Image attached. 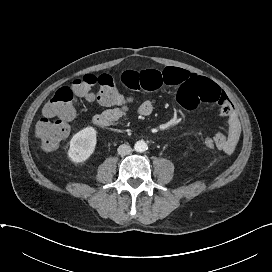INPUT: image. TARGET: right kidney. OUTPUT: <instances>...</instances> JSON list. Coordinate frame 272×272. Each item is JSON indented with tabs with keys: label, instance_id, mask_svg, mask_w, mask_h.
I'll use <instances>...</instances> for the list:
<instances>
[{
	"label": "right kidney",
	"instance_id": "right-kidney-1",
	"mask_svg": "<svg viewBox=\"0 0 272 272\" xmlns=\"http://www.w3.org/2000/svg\"><path fill=\"white\" fill-rule=\"evenodd\" d=\"M97 132L93 127H86L76 133L71 141L68 156L74 163H83L90 158L96 146Z\"/></svg>",
	"mask_w": 272,
	"mask_h": 272
}]
</instances>
